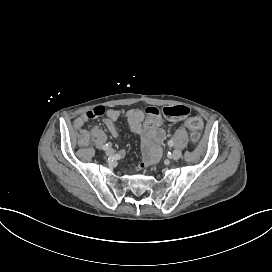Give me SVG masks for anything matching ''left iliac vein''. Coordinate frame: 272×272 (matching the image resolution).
<instances>
[{"label":"left iliac vein","instance_id":"left-iliac-vein-1","mask_svg":"<svg viewBox=\"0 0 272 272\" xmlns=\"http://www.w3.org/2000/svg\"><path fill=\"white\" fill-rule=\"evenodd\" d=\"M181 155H182L181 151L178 150V149H175L172 152V155L170 156V159L173 160V161H177L181 157Z\"/></svg>","mask_w":272,"mask_h":272}]
</instances>
